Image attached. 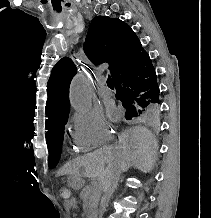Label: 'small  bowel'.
<instances>
[{
    "label": "small bowel",
    "mask_w": 211,
    "mask_h": 218,
    "mask_svg": "<svg viewBox=\"0 0 211 218\" xmlns=\"http://www.w3.org/2000/svg\"><path fill=\"white\" fill-rule=\"evenodd\" d=\"M76 206V202L75 200H69L68 202H66V207L67 208H72Z\"/></svg>",
    "instance_id": "obj_1"
}]
</instances>
